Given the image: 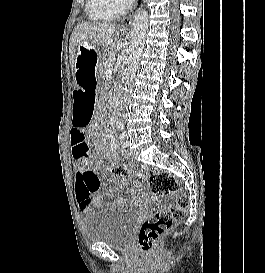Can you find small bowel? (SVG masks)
I'll return each mask as SVG.
<instances>
[{"instance_id":"c3829d8e","label":"small bowel","mask_w":265,"mask_h":273,"mask_svg":"<svg viewBox=\"0 0 265 273\" xmlns=\"http://www.w3.org/2000/svg\"><path fill=\"white\" fill-rule=\"evenodd\" d=\"M86 96H95V91L74 92V117L70 132L71 155L77 169L76 200L83 214L94 207H100L103 203V197L98 191H100V169L104 165V162L101 161L93 165L94 158L90 153V144L87 140V134L91 133L93 127L87 123L93 114V102H96L97 98ZM100 150L106 159H112V153L107 146L102 145ZM121 183L127 185L125 179H122ZM123 200L122 197L116 199L119 203H122Z\"/></svg>"}]
</instances>
